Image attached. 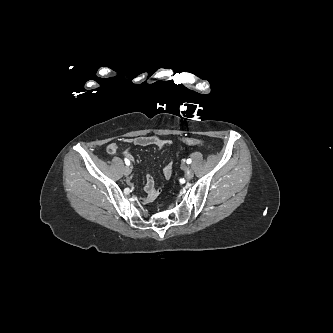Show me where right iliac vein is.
<instances>
[{
    "label": "right iliac vein",
    "mask_w": 333,
    "mask_h": 333,
    "mask_svg": "<svg viewBox=\"0 0 333 333\" xmlns=\"http://www.w3.org/2000/svg\"><path fill=\"white\" fill-rule=\"evenodd\" d=\"M123 172H124L125 176H128L130 174V168L125 166Z\"/></svg>",
    "instance_id": "obj_1"
}]
</instances>
